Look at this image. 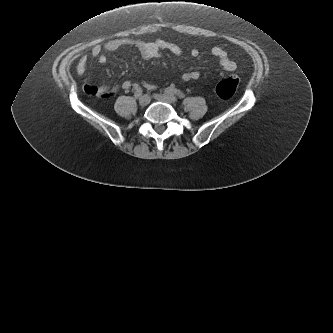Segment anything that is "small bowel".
<instances>
[{"label":"small bowel","instance_id":"1","mask_svg":"<svg viewBox=\"0 0 333 333\" xmlns=\"http://www.w3.org/2000/svg\"><path fill=\"white\" fill-rule=\"evenodd\" d=\"M129 45H135L138 50L140 51L141 55L145 59H152L156 58L160 55V52L162 50H168L172 54L176 56L182 55L183 51L182 49L174 44L170 43L164 40H157L155 42L147 43V42H142V41H133L130 39H125V38H119V39H112L107 41L103 45H94L91 48V55L93 58L97 59L100 63H106L107 62V57L105 52H111L118 50L120 48H123L125 46ZM199 54L198 50L193 49L191 50V56L192 57H197ZM212 55L218 59L219 64L221 68L225 71L231 72L236 69V64L232 60H230L227 56V53L225 50H223L220 47H215L212 49ZM87 70V56L83 55L80 57L78 64L76 66V73L78 75H83ZM201 76L199 71H190L186 72L181 76V81L183 82H189L192 80H197ZM144 86L149 89L153 90L156 88L155 85L144 83ZM122 88L125 90L129 89H139V85L131 82V81H125L122 84ZM118 87H110L108 85H101V86H95V85H90V84H85L83 86V90L85 93L94 95L97 94L102 97H110L113 94H115L118 91Z\"/></svg>","mask_w":333,"mask_h":333}]
</instances>
